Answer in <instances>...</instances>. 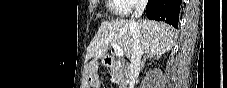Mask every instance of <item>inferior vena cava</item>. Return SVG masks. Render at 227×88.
<instances>
[{
	"instance_id": "inferior-vena-cava-1",
	"label": "inferior vena cava",
	"mask_w": 227,
	"mask_h": 88,
	"mask_svg": "<svg viewBox=\"0 0 227 88\" xmlns=\"http://www.w3.org/2000/svg\"><path fill=\"white\" fill-rule=\"evenodd\" d=\"M146 4H147L146 1H142L135 5V11L132 14V19L141 17L146 7ZM131 32H132L133 46H132V53H131V60H130L131 65H130V73H129V78H130L129 85H130V88H133L135 77L140 72L141 57L143 54V49L140 43L139 32L133 24H131Z\"/></svg>"
}]
</instances>
